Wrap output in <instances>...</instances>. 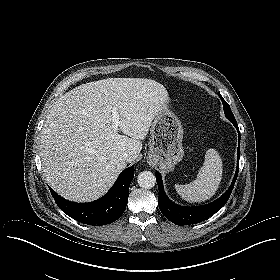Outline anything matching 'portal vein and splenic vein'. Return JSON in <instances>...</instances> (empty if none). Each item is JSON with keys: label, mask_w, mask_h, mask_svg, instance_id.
I'll use <instances>...</instances> for the list:
<instances>
[{"label": "portal vein and splenic vein", "mask_w": 280, "mask_h": 280, "mask_svg": "<svg viewBox=\"0 0 280 280\" xmlns=\"http://www.w3.org/2000/svg\"><path fill=\"white\" fill-rule=\"evenodd\" d=\"M118 126H119V114L116 108H114L112 110V128L114 129V131L118 130Z\"/></svg>", "instance_id": "18ae733b"}]
</instances>
